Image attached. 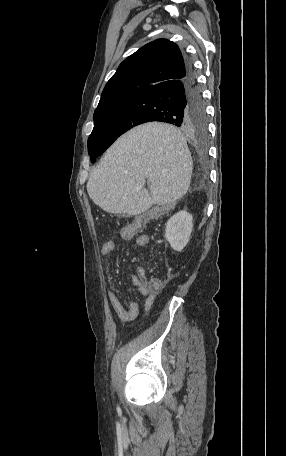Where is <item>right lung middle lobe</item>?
Here are the masks:
<instances>
[{"mask_svg": "<svg viewBox=\"0 0 286 456\" xmlns=\"http://www.w3.org/2000/svg\"><path fill=\"white\" fill-rule=\"evenodd\" d=\"M94 128L88 138V153L95 162L120 135L140 124V109L134 96L113 100L95 110ZM206 119L192 131L205 136Z\"/></svg>", "mask_w": 286, "mask_h": 456, "instance_id": "obj_1", "label": "right lung middle lobe"}]
</instances>
